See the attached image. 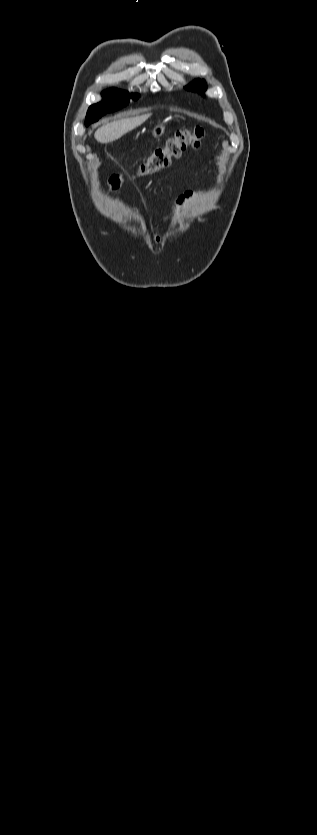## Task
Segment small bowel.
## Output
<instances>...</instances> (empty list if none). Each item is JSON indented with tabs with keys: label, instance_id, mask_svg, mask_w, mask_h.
Returning <instances> with one entry per match:
<instances>
[{
	"label": "small bowel",
	"instance_id": "obj_1",
	"mask_svg": "<svg viewBox=\"0 0 317 835\" xmlns=\"http://www.w3.org/2000/svg\"><path fill=\"white\" fill-rule=\"evenodd\" d=\"M194 198H195V195H194V193H193L192 191H187V192H185L183 195H181V196L178 198V200H177V202H176V205L174 206V208H173V211H172V214H171V215H175L176 213H178V211H179L181 208H183L187 202L192 201ZM152 240H153L155 243H159V242H160V236H159V234H157V233L155 232V233L153 234V236H152Z\"/></svg>",
	"mask_w": 317,
	"mask_h": 835
}]
</instances>
